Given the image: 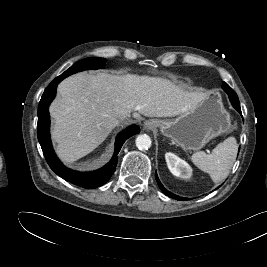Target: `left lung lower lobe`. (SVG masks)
I'll return each mask as SVG.
<instances>
[{"instance_id":"left-lung-lower-lobe-1","label":"left lung lower lobe","mask_w":267,"mask_h":267,"mask_svg":"<svg viewBox=\"0 0 267 267\" xmlns=\"http://www.w3.org/2000/svg\"><path fill=\"white\" fill-rule=\"evenodd\" d=\"M223 89L227 92L228 96H229V99L233 105V107L241 114V108H240V105H239V99H238V96L237 94L234 92V90L229 87V85H226V86H223ZM156 176V180H157V183L160 187V189L169 197L171 198H174L176 200H186L185 198H182V197H179L173 193H170L169 191H167L163 185L161 184L160 180L158 179V176H157V173L155 174Z\"/></svg>"}]
</instances>
